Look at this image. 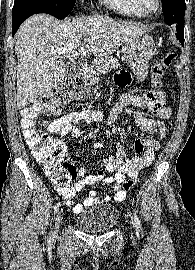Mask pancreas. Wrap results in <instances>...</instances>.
<instances>
[{
  "label": "pancreas",
  "instance_id": "obj_1",
  "mask_svg": "<svg viewBox=\"0 0 195 270\" xmlns=\"http://www.w3.org/2000/svg\"><path fill=\"white\" fill-rule=\"evenodd\" d=\"M119 65L118 60L115 57L111 55H101L94 60L92 67L95 74L99 75L100 73L111 70Z\"/></svg>",
  "mask_w": 195,
  "mask_h": 270
}]
</instances>
